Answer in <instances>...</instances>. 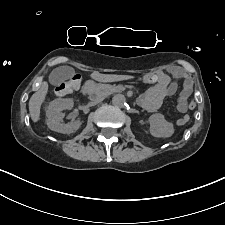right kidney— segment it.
Masks as SVG:
<instances>
[{
    "mask_svg": "<svg viewBox=\"0 0 225 225\" xmlns=\"http://www.w3.org/2000/svg\"><path fill=\"white\" fill-rule=\"evenodd\" d=\"M73 105L74 101L70 98L55 99L50 102L46 110V115L48 117V128L63 134H71L76 132L82 124L80 120H76L68 124L62 123V119L64 117L62 111L66 109H72Z\"/></svg>",
    "mask_w": 225,
    "mask_h": 225,
    "instance_id": "1",
    "label": "right kidney"
}]
</instances>
